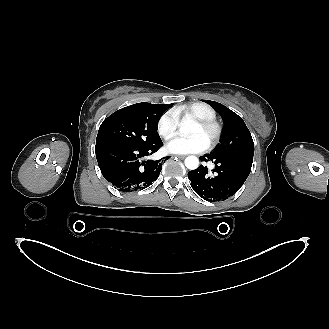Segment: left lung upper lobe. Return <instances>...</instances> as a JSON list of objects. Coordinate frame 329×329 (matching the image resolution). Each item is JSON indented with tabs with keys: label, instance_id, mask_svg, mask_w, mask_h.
Segmentation results:
<instances>
[{
	"label": "left lung upper lobe",
	"instance_id": "obj_1",
	"mask_svg": "<svg viewBox=\"0 0 329 329\" xmlns=\"http://www.w3.org/2000/svg\"><path fill=\"white\" fill-rule=\"evenodd\" d=\"M203 101L212 106L224 122L221 144L211 154L253 162L254 142L243 119L221 103Z\"/></svg>",
	"mask_w": 329,
	"mask_h": 329
}]
</instances>
